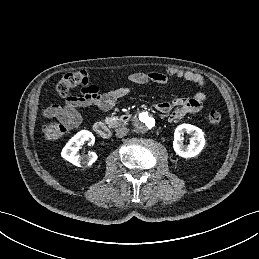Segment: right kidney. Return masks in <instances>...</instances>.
<instances>
[{
  "label": "right kidney",
  "instance_id": "ca27d5eb",
  "mask_svg": "<svg viewBox=\"0 0 259 259\" xmlns=\"http://www.w3.org/2000/svg\"><path fill=\"white\" fill-rule=\"evenodd\" d=\"M85 141L88 142V145L95 142L94 135L88 130H82L74 135L62 149L61 156L78 167L92 165L98 158L95 152H88L86 155L78 154L80 145Z\"/></svg>",
  "mask_w": 259,
  "mask_h": 259
}]
</instances>
